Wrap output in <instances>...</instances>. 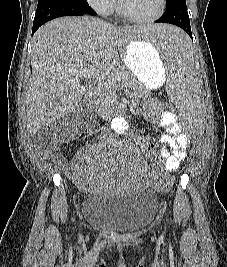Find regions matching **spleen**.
Listing matches in <instances>:
<instances>
[{"instance_id":"spleen-1","label":"spleen","mask_w":227,"mask_h":267,"mask_svg":"<svg viewBox=\"0 0 227 267\" xmlns=\"http://www.w3.org/2000/svg\"><path fill=\"white\" fill-rule=\"evenodd\" d=\"M171 22H141V25H131V38L139 43H149L155 47V55H161L169 63L167 76L168 93L178 106L177 115H203L201 105V85L195 78L191 43L184 29ZM186 105V106H185ZM184 125V137L190 140H203L206 129L202 116H180Z\"/></svg>"}]
</instances>
